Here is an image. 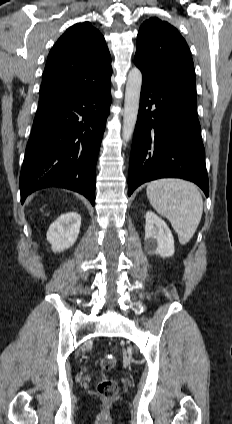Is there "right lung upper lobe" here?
I'll return each instance as SVG.
<instances>
[{"instance_id":"1","label":"right lung upper lobe","mask_w":232,"mask_h":424,"mask_svg":"<svg viewBox=\"0 0 232 424\" xmlns=\"http://www.w3.org/2000/svg\"><path fill=\"white\" fill-rule=\"evenodd\" d=\"M111 57L103 35L89 22L66 30L51 49L39 103L80 96L110 85Z\"/></svg>"}]
</instances>
